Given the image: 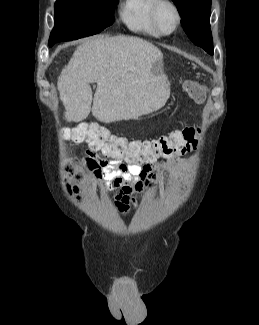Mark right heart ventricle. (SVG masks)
<instances>
[{
    "label": "right heart ventricle",
    "mask_w": 259,
    "mask_h": 325,
    "mask_svg": "<svg viewBox=\"0 0 259 325\" xmlns=\"http://www.w3.org/2000/svg\"><path fill=\"white\" fill-rule=\"evenodd\" d=\"M154 2L155 0H123L119 8V16L131 30L150 36H159L150 17Z\"/></svg>",
    "instance_id": "obj_1"
}]
</instances>
